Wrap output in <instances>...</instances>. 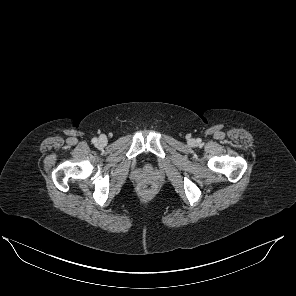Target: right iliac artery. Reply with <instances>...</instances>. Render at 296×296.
<instances>
[{"mask_svg": "<svg viewBox=\"0 0 296 296\" xmlns=\"http://www.w3.org/2000/svg\"><path fill=\"white\" fill-rule=\"evenodd\" d=\"M97 141H98L97 138H93V139H92V142H93L94 144L97 143Z\"/></svg>", "mask_w": 296, "mask_h": 296, "instance_id": "82829eb1", "label": "right iliac artery"}]
</instances>
